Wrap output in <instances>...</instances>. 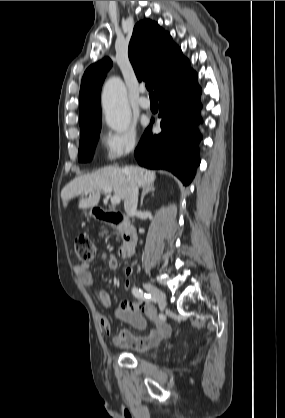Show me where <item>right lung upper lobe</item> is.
<instances>
[{"mask_svg": "<svg viewBox=\"0 0 285 418\" xmlns=\"http://www.w3.org/2000/svg\"><path fill=\"white\" fill-rule=\"evenodd\" d=\"M128 55L138 80L152 82L157 96L191 70L170 34L148 19L135 25ZM111 66L105 57L85 71L79 94L80 126L101 118V87Z\"/></svg>", "mask_w": 285, "mask_h": 418, "instance_id": "obj_1", "label": "right lung upper lobe"}]
</instances>
